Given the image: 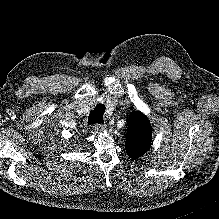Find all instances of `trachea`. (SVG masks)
Returning <instances> with one entry per match:
<instances>
[{"mask_svg":"<svg viewBox=\"0 0 219 219\" xmlns=\"http://www.w3.org/2000/svg\"><path fill=\"white\" fill-rule=\"evenodd\" d=\"M106 110L104 104H97L94 110L89 114L88 124H102L103 123V114Z\"/></svg>","mask_w":219,"mask_h":219,"instance_id":"obj_1","label":"trachea"}]
</instances>
